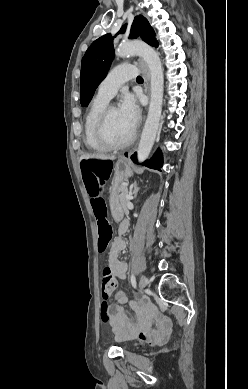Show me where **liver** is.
Instances as JSON below:
<instances>
[{
	"instance_id": "liver-1",
	"label": "liver",
	"mask_w": 248,
	"mask_h": 389,
	"mask_svg": "<svg viewBox=\"0 0 248 389\" xmlns=\"http://www.w3.org/2000/svg\"><path fill=\"white\" fill-rule=\"evenodd\" d=\"M100 159V160H114L115 155H105V154H84L81 156V159Z\"/></svg>"
}]
</instances>
